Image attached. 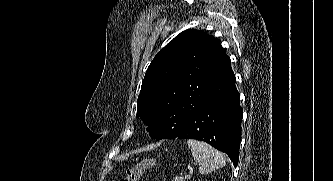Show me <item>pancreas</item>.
<instances>
[{
  "label": "pancreas",
  "mask_w": 333,
  "mask_h": 181,
  "mask_svg": "<svg viewBox=\"0 0 333 181\" xmlns=\"http://www.w3.org/2000/svg\"><path fill=\"white\" fill-rule=\"evenodd\" d=\"M171 181H184V179L182 177H175L173 178Z\"/></svg>",
  "instance_id": "obj_1"
}]
</instances>
